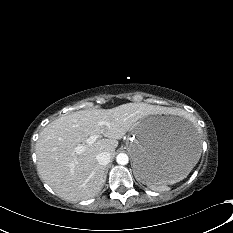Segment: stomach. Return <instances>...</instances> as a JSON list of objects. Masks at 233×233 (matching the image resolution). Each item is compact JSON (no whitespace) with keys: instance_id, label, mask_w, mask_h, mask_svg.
<instances>
[{"instance_id":"0dacf381","label":"stomach","mask_w":233,"mask_h":233,"mask_svg":"<svg viewBox=\"0 0 233 233\" xmlns=\"http://www.w3.org/2000/svg\"><path fill=\"white\" fill-rule=\"evenodd\" d=\"M128 150L134 174L148 185L185 177L200 157L193 126L181 117H146L131 129Z\"/></svg>"}]
</instances>
